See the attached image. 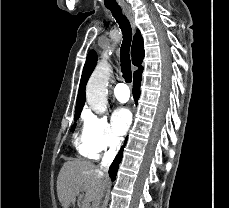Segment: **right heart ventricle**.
I'll return each instance as SVG.
<instances>
[{"label":"right heart ventricle","mask_w":229,"mask_h":208,"mask_svg":"<svg viewBox=\"0 0 229 208\" xmlns=\"http://www.w3.org/2000/svg\"><path fill=\"white\" fill-rule=\"evenodd\" d=\"M78 148H79V150L81 151V153H83L84 155H87V156H93V155H94V154H92V153L87 152V151L82 147L81 144L78 145Z\"/></svg>","instance_id":"e07e8e85"}]
</instances>
